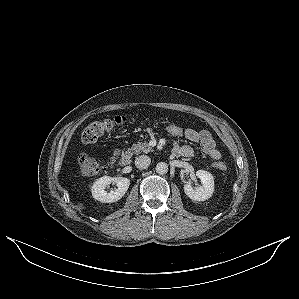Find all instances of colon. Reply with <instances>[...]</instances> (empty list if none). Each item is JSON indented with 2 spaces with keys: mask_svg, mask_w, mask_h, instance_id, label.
Listing matches in <instances>:
<instances>
[{
  "mask_svg": "<svg viewBox=\"0 0 299 299\" xmlns=\"http://www.w3.org/2000/svg\"><path fill=\"white\" fill-rule=\"evenodd\" d=\"M128 121L129 120L125 116H116L110 119L94 121L90 123L82 132V142L85 144H95L105 132L123 126L127 124ZM163 128L169 135L173 137L179 138L185 136L186 129L175 123H165ZM78 165L80 173L87 177L97 175L105 169L97 159L87 154H81L79 156ZM215 167L221 171L226 169V166L222 162L216 163Z\"/></svg>",
  "mask_w": 299,
  "mask_h": 299,
  "instance_id": "1",
  "label": "colon"
}]
</instances>
